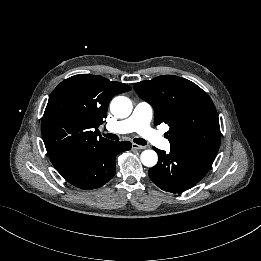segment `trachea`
Segmentation results:
<instances>
[{
    "instance_id": "trachea-1",
    "label": "trachea",
    "mask_w": 261,
    "mask_h": 261,
    "mask_svg": "<svg viewBox=\"0 0 261 261\" xmlns=\"http://www.w3.org/2000/svg\"><path fill=\"white\" fill-rule=\"evenodd\" d=\"M104 136L106 138H110V139H113V140H119L120 139L119 136L116 135V134L108 133V134H104ZM133 142L136 143V144L142 145V146L146 144V141L143 140L142 138H134Z\"/></svg>"
}]
</instances>
